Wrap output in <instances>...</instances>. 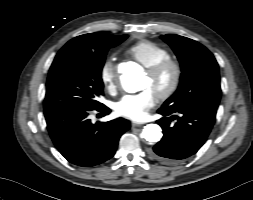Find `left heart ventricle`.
I'll use <instances>...</instances> for the list:
<instances>
[{
    "label": "left heart ventricle",
    "mask_w": 253,
    "mask_h": 200,
    "mask_svg": "<svg viewBox=\"0 0 253 200\" xmlns=\"http://www.w3.org/2000/svg\"><path fill=\"white\" fill-rule=\"evenodd\" d=\"M169 81H170V73H165L164 75H162L157 79H153L146 73L142 80L141 88L143 89L149 88L156 94V92L164 89L169 84Z\"/></svg>",
    "instance_id": "1"
}]
</instances>
